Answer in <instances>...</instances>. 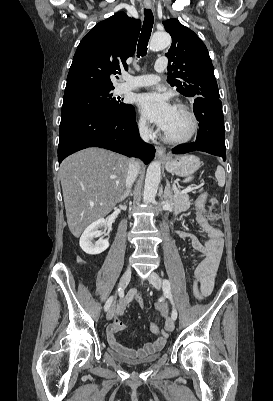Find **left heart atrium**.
I'll return each instance as SVG.
<instances>
[{"label": "left heart atrium", "instance_id": "obj_1", "mask_svg": "<svg viewBox=\"0 0 273 401\" xmlns=\"http://www.w3.org/2000/svg\"><path fill=\"white\" fill-rule=\"evenodd\" d=\"M137 105L145 119L154 122L163 130L166 128L174 110L168 98L157 93L139 95Z\"/></svg>", "mask_w": 273, "mask_h": 401}]
</instances>
